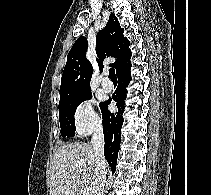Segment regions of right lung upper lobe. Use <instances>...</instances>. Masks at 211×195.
I'll return each instance as SVG.
<instances>
[{
    "mask_svg": "<svg viewBox=\"0 0 211 195\" xmlns=\"http://www.w3.org/2000/svg\"><path fill=\"white\" fill-rule=\"evenodd\" d=\"M123 32L124 29L120 27L116 16L110 14L105 28L99 31L96 37V53L100 69L106 57L117 59L111 64L116 68L117 74L131 65L128 63L131 57V51L128 49L130 42L123 36ZM87 47V39L81 36L69 51L61 79L59 103L91 93L90 80L93 67L85 56Z\"/></svg>",
    "mask_w": 211,
    "mask_h": 195,
    "instance_id": "1",
    "label": "right lung upper lobe"
}]
</instances>
